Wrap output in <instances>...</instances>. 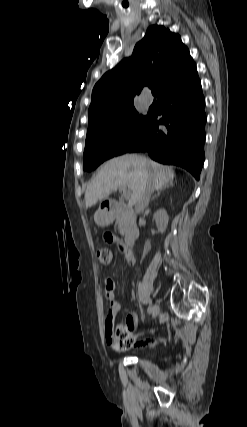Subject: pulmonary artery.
<instances>
[{
  "instance_id": "1",
  "label": "pulmonary artery",
  "mask_w": 247,
  "mask_h": 427,
  "mask_svg": "<svg viewBox=\"0 0 247 427\" xmlns=\"http://www.w3.org/2000/svg\"><path fill=\"white\" fill-rule=\"evenodd\" d=\"M143 103L146 105V106H149V105H151V103H152V100L150 99V98H144L143 99Z\"/></svg>"
}]
</instances>
